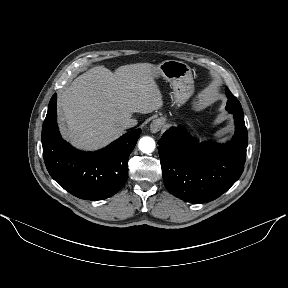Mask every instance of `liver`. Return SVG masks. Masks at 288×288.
Listing matches in <instances>:
<instances>
[{"instance_id": "1", "label": "liver", "mask_w": 288, "mask_h": 288, "mask_svg": "<svg viewBox=\"0 0 288 288\" xmlns=\"http://www.w3.org/2000/svg\"><path fill=\"white\" fill-rule=\"evenodd\" d=\"M154 65L120 66L115 72L95 66L77 77L59 98L64 137L75 147L96 150L124 133L133 113L147 114L162 107Z\"/></svg>"}]
</instances>
